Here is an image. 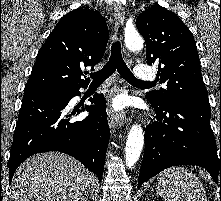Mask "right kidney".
<instances>
[{
  "label": "right kidney",
  "instance_id": "right-kidney-1",
  "mask_svg": "<svg viewBox=\"0 0 221 201\" xmlns=\"http://www.w3.org/2000/svg\"><path fill=\"white\" fill-rule=\"evenodd\" d=\"M70 201H86V199L84 197H77V198H73Z\"/></svg>",
  "mask_w": 221,
  "mask_h": 201
}]
</instances>
